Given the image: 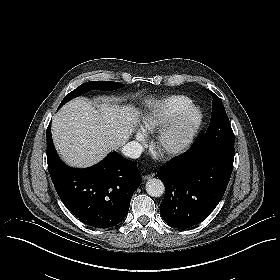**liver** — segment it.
<instances>
[{
    "label": "liver",
    "mask_w": 280,
    "mask_h": 280,
    "mask_svg": "<svg viewBox=\"0 0 280 280\" xmlns=\"http://www.w3.org/2000/svg\"><path fill=\"white\" fill-rule=\"evenodd\" d=\"M139 122V112L109 102L95 106L84 98L65 104L53 117L52 138L71 167L86 168L123 146Z\"/></svg>",
    "instance_id": "1"
}]
</instances>
